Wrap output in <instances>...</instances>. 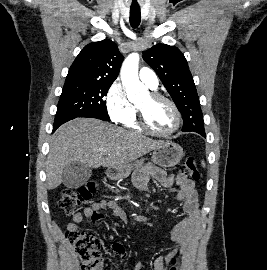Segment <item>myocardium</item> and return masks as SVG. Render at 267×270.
<instances>
[{
    "instance_id": "obj_1",
    "label": "myocardium",
    "mask_w": 267,
    "mask_h": 270,
    "mask_svg": "<svg viewBox=\"0 0 267 270\" xmlns=\"http://www.w3.org/2000/svg\"><path fill=\"white\" fill-rule=\"evenodd\" d=\"M150 97L153 100L164 101L172 108L174 116H175L174 126L168 132H159V131L154 130L147 123L144 112L142 111V109L137 106V121H138L139 126L145 132H147L153 136H156V137L169 138V137L173 136L179 130L180 125H181V113H180L179 108L177 107V105L175 104V102L173 100H171L170 98H168L167 96H165L161 93L151 92Z\"/></svg>"
}]
</instances>
